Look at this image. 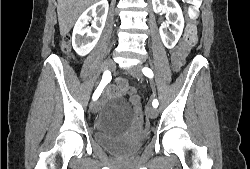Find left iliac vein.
I'll use <instances>...</instances> for the list:
<instances>
[{
	"label": "left iliac vein",
	"mask_w": 250,
	"mask_h": 169,
	"mask_svg": "<svg viewBox=\"0 0 250 169\" xmlns=\"http://www.w3.org/2000/svg\"><path fill=\"white\" fill-rule=\"evenodd\" d=\"M129 73L132 77H134L136 79H140L143 77L141 68L139 66H134L132 69L129 70ZM147 114L150 118H155L157 116L156 108L148 107Z\"/></svg>",
	"instance_id": "1"
}]
</instances>
